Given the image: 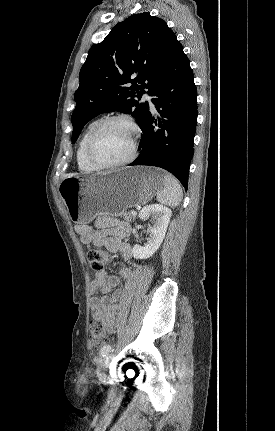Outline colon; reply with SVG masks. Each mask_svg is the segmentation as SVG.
<instances>
[{"label": "colon", "mask_w": 275, "mask_h": 431, "mask_svg": "<svg viewBox=\"0 0 275 431\" xmlns=\"http://www.w3.org/2000/svg\"><path fill=\"white\" fill-rule=\"evenodd\" d=\"M91 268L96 272H102L109 263L110 257L103 249H90L87 254ZM90 339L96 346H101L107 342L108 335L104 325L97 320H93L89 326Z\"/></svg>", "instance_id": "5ec220e1"}]
</instances>
